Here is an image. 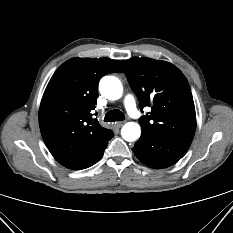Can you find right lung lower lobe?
I'll return each mask as SVG.
<instances>
[{
  "label": "right lung lower lobe",
  "mask_w": 233,
  "mask_h": 233,
  "mask_svg": "<svg viewBox=\"0 0 233 233\" xmlns=\"http://www.w3.org/2000/svg\"><path fill=\"white\" fill-rule=\"evenodd\" d=\"M113 133H111V135L108 137V139L105 141V144H104V148L102 149V152L100 153V156L98 157L97 161H99L101 159V157L103 156V153H104V150L106 149L107 147V144H108V141L113 137ZM96 161V162H97Z\"/></svg>",
  "instance_id": "98d812e1"
}]
</instances>
